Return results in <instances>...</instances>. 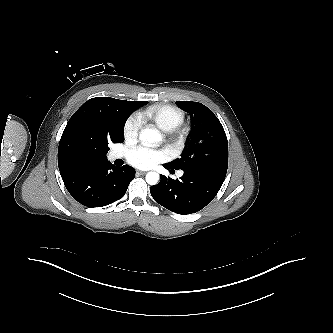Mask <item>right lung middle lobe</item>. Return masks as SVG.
<instances>
[{"mask_svg":"<svg viewBox=\"0 0 333 333\" xmlns=\"http://www.w3.org/2000/svg\"><path fill=\"white\" fill-rule=\"evenodd\" d=\"M147 101L129 102L122 101L115 110V133L111 137H104L99 142V147L106 154L109 151L108 145L124 141V125L128 117L139 107L146 105Z\"/></svg>","mask_w":333,"mask_h":333,"instance_id":"obj_1","label":"right lung middle lobe"}]
</instances>
